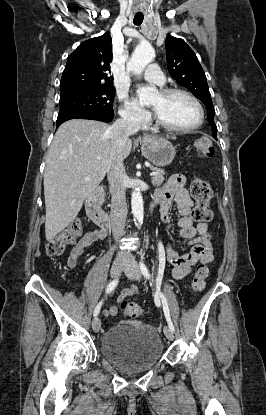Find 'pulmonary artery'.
<instances>
[{
    "mask_svg": "<svg viewBox=\"0 0 266 415\" xmlns=\"http://www.w3.org/2000/svg\"><path fill=\"white\" fill-rule=\"evenodd\" d=\"M144 78L152 83L157 85H163L165 83V78L159 67L155 64H151L147 67Z\"/></svg>",
    "mask_w": 266,
    "mask_h": 415,
    "instance_id": "1",
    "label": "pulmonary artery"
}]
</instances>
